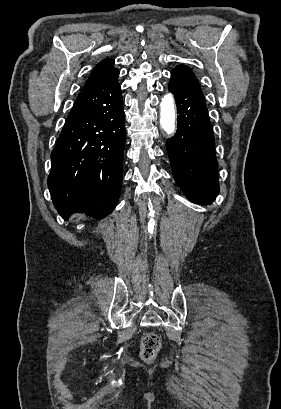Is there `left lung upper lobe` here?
Returning a JSON list of instances; mask_svg holds the SVG:
<instances>
[{"label":"left lung upper lobe","mask_w":281,"mask_h":409,"mask_svg":"<svg viewBox=\"0 0 281 409\" xmlns=\"http://www.w3.org/2000/svg\"><path fill=\"white\" fill-rule=\"evenodd\" d=\"M175 69L181 70V71L185 72L186 74H188L189 76H191L193 79H195V80L197 81V79L195 78L194 74L192 73V71H191L189 68H187V67L181 65V66L176 67ZM197 82H198V81H197Z\"/></svg>","instance_id":"left-lung-upper-lobe-1"}]
</instances>
